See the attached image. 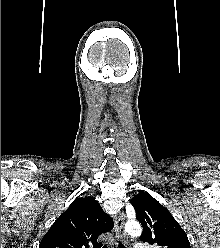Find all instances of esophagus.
Instances as JSON below:
<instances>
[{
  "mask_svg": "<svg viewBox=\"0 0 220 248\" xmlns=\"http://www.w3.org/2000/svg\"><path fill=\"white\" fill-rule=\"evenodd\" d=\"M124 222H125V216L123 213H120L116 216L115 218V233H116V237L121 240V241H126V235L124 232ZM116 243H113V245Z\"/></svg>",
  "mask_w": 220,
  "mask_h": 248,
  "instance_id": "1",
  "label": "esophagus"
}]
</instances>
